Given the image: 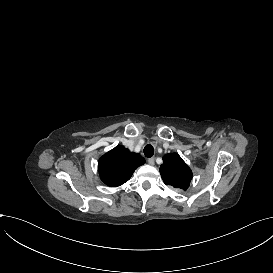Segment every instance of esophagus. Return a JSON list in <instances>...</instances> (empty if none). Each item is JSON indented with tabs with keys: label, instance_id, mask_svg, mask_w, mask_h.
Segmentation results:
<instances>
[{
	"label": "esophagus",
	"instance_id": "esophagus-1",
	"mask_svg": "<svg viewBox=\"0 0 273 273\" xmlns=\"http://www.w3.org/2000/svg\"><path fill=\"white\" fill-rule=\"evenodd\" d=\"M147 162L150 164V165H154L155 164V159L152 157V158H149L148 160H147Z\"/></svg>",
	"mask_w": 273,
	"mask_h": 273
}]
</instances>
